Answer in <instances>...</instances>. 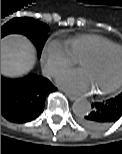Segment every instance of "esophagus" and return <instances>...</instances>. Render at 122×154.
I'll use <instances>...</instances> for the list:
<instances>
[{
  "label": "esophagus",
  "instance_id": "obj_1",
  "mask_svg": "<svg viewBox=\"0 0 122 154\" xmlns=\"http://www.w3.org/2000/svg\"><path fill=\"white\" fill-rule=\"evenodd\" d=\"M64 93H65V95H66L71 101H75V100L78 99V97L75 96V95H72V94H70V93H68V92H64Z\"/></svg>",
  "mask_w": 122,
  "mask_h": 154
}]
</instances>
